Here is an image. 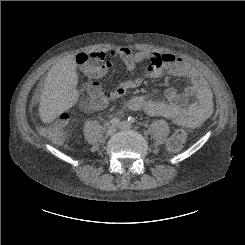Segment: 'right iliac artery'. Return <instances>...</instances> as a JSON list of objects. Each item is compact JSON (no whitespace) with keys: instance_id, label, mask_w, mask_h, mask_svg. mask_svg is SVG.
<instances>
[{"instance_id":"82829eb1","label":"right iliac artery","mask_w":245,"mask_h":245,"mask_svg":"<svg viewBox=\"0 0 245 245\" xmlns=\"http://www.w3.org/2000/svg\"><path fill=\"white\" fill-rule=\"evenodd\" d=\"M119 122H120V120L118 119V118H113L112 120H111V125L112 126H116V125H118L119 124Z\"/></svg>"}]
</instances>
